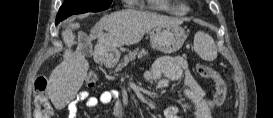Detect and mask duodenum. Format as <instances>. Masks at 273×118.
Wrapping results in <instances>:
<instances>
[{"instance_id": "obj_1", "label": "duodenum", "mask_w": 273, "mask_h": 118, "mask_svg": "<svg viewBox=\"0 0 273 118\" xmlns=\"http://www.w3.org/2000/svg\"><path fill=\"white\" fill-rule=\"evenodd\" d=\"M107 59H108V54H106L105 52L98 54L96 57V61L98 63H105Z\"/></svg>"}]
</instances>
